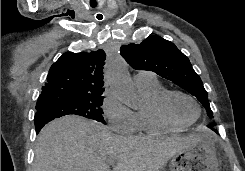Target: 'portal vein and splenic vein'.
Masks as SVG:
<instances>
[{
  "mask_svg": "<svg viewBox=\"0 0 245 171\" xmlns=\"http://www.w3.org/2000/svg\"><path fill=\"white\" fill-rule=\"evenodd\" d=\"M108 162H109V164H114V161L113 160H110Z\"/></svg>",
  "mask_w": 245,
  "mask_h": 171,
  "instance_id": "portal-vein-and-splenic-vein-1",
  "label": "portal vein and splenic vein"
}]
</instances>
